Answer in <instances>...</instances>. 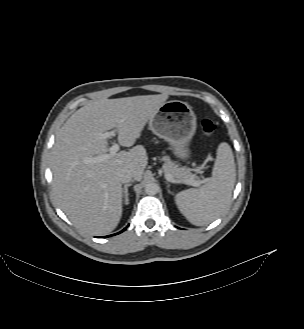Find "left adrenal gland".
<instances>
[{
    "label": "left adrenal gland",
    "mask_w": 304,
    "mask_h": 329,
    "mask_svg": "<svg viewBox=\"0 0 304 329\" xmlns=\"http://www.w3.org/2000/svg\"><path fill=\"white\" fill-rule=\"evenodd\" d=\"M166 183H167V187L169 188L170 184L168 182H166ZM168 192L171 193L170 190H168Z\"/></svg>",
    "instance_id": "1"
}]
</instances>
